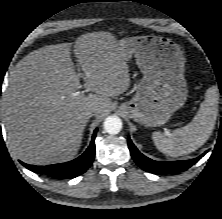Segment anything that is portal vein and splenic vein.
I'll return each mask as SVG.
<instances>
[{"mask_svg": "<svg viewBox=\"0 0 222 219\" xmlns=\"http://www.w3.org/2000/svg\"><path fill=\"white\" fill-rule=\"evenodd\" d=\"M77 94H79V92L74 93V95H77Z\"/></svg>", "mask_w": 222, "mask_h": 219, "instance_id": "18ae733b", "label": "portal vein and splenic vein"}]
</instances>
